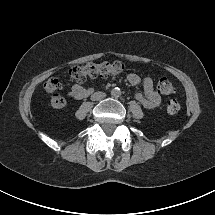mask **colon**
Instances as JSON below:
<instances>
[{
  "mask_svg": "<svg viewBox=\"0 0 215 215\" xmlns=\"http://www.w3.org/2000/svg\"><path fill=\"white\" fill-rule=\"evenodd\" d=\"M123 64L120 62H104L99 64H86L84 66H75L69 76L72 80L83 82L88 77H115L123 71ZM59 81L51 78L46 81L44 88L49 94L48 104L51 108L59 109L65 105V99L59 93ZM157 90L161 94H170L174 91L173 84L167 78H161L157 84ZM166 109L168 113L175 114L180 110V104L176 99H170L167 102Z\"/></svg>",
  "mask_w": 215,
  "mask_h": 215,
  "instance_id": "1",
  "label": "colon"
}]
</instances>
